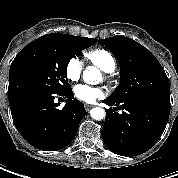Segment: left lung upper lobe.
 <instances>
[{
  "mask_svg": "<svg viewBox=\"0 0 178 178\" xmlns=\"http://www.w3.org/2000/svg\"><path fill=\"white\" fill-rule=\"evenodd\" d=\"M118 59L120 84L108 97L114 102L141 98L170 108V85L155 56L138 42L123 36L100 39Z\"/></svg>",
  "mask_w": 178,
  "mask_h": 178,
  "instance_id": "left-lung-upper-lobe-1",
  "label": "left lung upper lobe"
}]
</instances>
